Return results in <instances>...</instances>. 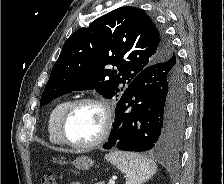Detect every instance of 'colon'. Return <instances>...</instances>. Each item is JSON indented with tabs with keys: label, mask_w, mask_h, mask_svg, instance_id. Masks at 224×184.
Segmentation results:
<instances>
[{
	"label": "colon",
	"mask_w": 224,
	"mask_h": 184,
	"mask_svg": "<svg viewBox=\"0 0 224 184\" xmlns=\"http://www.w3.org/2000/svg\"><path fill=\"white\" fill-rule=\"evenodd\" d=\"M41 184H57V182L51 174H45L41 179Z\"/></svg>",
	"instance_id": "5ec220e1"
}]
</instances>
